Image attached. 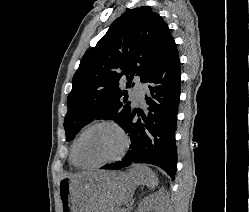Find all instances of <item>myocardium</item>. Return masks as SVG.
I'll return each mask as SVG.
<instances>
[{
	"label": "myocardium",
	"instance_id": "1",
	"mask_svg": "<svg viewBox=\"0 0 249 212\" xmlns=\"http://www.w3.org/2000/svg\"><path fill=\"white\" fill-rule=\"evenodd\" d=\"M100 127H110L112 129H114L117 134L120 137L121 140V147L119 149V152L117 153V155L102 161L100 163L97 164H92V165H87V164H83L82 162H80V160L78 159L77 156V147L79 144V141L81 140V138L88 132L96 129V128H100ZM130 136L127 132V130L117 121L112 120V119H102L99 121H96L90 125H88L87 127H85L79 134L78 136L75 138L73 146H72V156H73V160L76 163V165L82 169H99L102 167H105L107 165H110L114 162L119 161L121 158H123V156L126 154V152L128 151L129 147H130Z\"/></svg>",
	"mask_w": 249,
	"mask_h": 212
}]
</instances>
